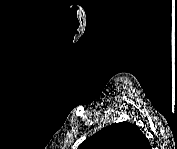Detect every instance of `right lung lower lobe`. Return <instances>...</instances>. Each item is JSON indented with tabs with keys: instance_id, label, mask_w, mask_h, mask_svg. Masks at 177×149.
Wrapping results in <instances>:
<instances>
[{
	"instance_id": "right-lung-lower-lobe-1",
	"label": "right lung lower lobe",
	"mask_w": 177,
	"mask_h": 149,
	"mask_svg": "<svg viewBox=\"0 0 177 149\" xmlns=\"http://www.w3.org/2000/svg\"><path fill=\"white\" fill-rule=\"evenodd\" d=\"M145 146H147V148L149 147V141H148V139L147 138H145Z\"/></svg>"
}]
</instances>
